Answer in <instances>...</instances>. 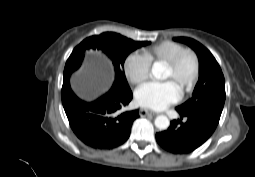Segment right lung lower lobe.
I'll return each mask as SVG.
<instances>
[{"instance_id": "right-lung-lower-lobe-1", "label": "right lung lower lobe", "mask_w": 255, "mask_h": 177, "mask_svg": "<svg viewBox=\"0 0 255 177\" xmlns=\"http://www.w3.org/2000/svg\"><path fill=\"white\" fill-rule=\"evenodd\" d=\"M62 103L69 124L76 136L95 149H113L130 136L138 110L119 113L132 99L130 90L112 86L94 101L80 99L70 88L69 76H64L61 91Z\"/></svg>"}]
</instances>
